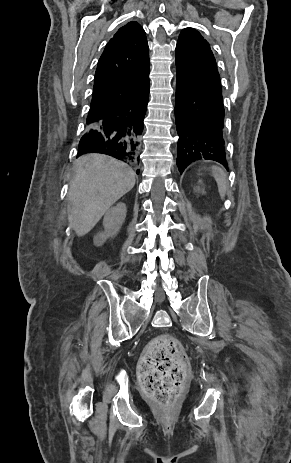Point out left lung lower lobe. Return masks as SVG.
<instances>
[{
    "instance_id": "obj_1",
    "label": "left lung lower lobe",
    "mask_w": 291,
    "mask_h": 463,
    "mask_svg": "<svg viewBox=\"0 0 291 463\" xmlns=\"http://www.w3.org/2000/svg\"><path fill=\"white\" fill-rule=\"evenodd\" d=\"M175 122L181 173L197 160H213L228 168L222 92L177 74Z\"/></svg>"
}]
</instances>
